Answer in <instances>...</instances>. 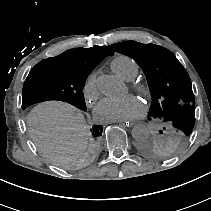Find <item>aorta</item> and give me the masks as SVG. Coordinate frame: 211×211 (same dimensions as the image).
Here are the masks:
<instances>
[{"label": "aorta", "mask_w": 211, "mask_h": 211, "mask_svg": "<svg viewBox=\"0 0 211 211\" xmlns=\"http://www.w3.org/2000/svg\"><path fill=\"white\" fill-rule=\"evenodd\" d=\"M98 88L103 95L110 98L119 97L125 91L122 81L111 75H101L98 78ZM131 133L136 141L145 140L149 136L148 128L142 124L135 125Z\"/></svg>", "instance_id": "aorta-1"}]
</instances>
